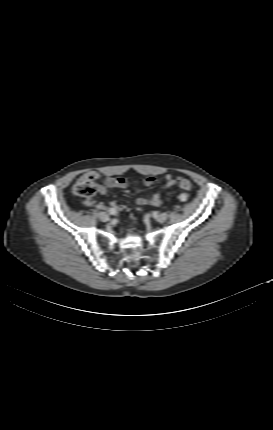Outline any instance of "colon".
<instances>
[{
  "label": "colon",
  "mask_w": 273,
  "mask_h": 430,
  "mask_svg": "<svg viewBox=\"0 0 273 430\" xmlns=\"http://www.w3.org/2000/svg\"><path fill=\"white\" fill-rule=\"evenodd\" d=\"M181 189L184 191H190L192 189L191 182H182ZM72 191L76 196L79 197H92L98 192L96 179L91 175V173L83 174L74 183ZM179 199H186V195L181 194Z\"/></svg>",
  "instance_id": "colon-1"
}]
</instances>
